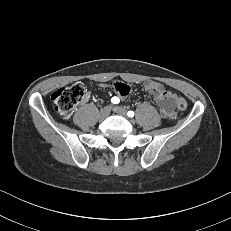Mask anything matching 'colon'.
Masks as SVG:
<instances>
[{
    "label": "colon",
    "instance_id": "5ec220e1",
    "mask_svg": "<svg viewBox=\"0 0 231 231\" xmlns=\"http://www.w3.org/2000/svg\"><path fill=\"white\" fill-rule=\"evenodd\" d=\"M88 95L85 85L76 82L70 86L61 87L53 92L51 100L57 112L63 118H69L77 105L86 100ZM176 106L180 111H184L188 107L187 101L179 97L176 100Z\"/></svg>",
    "mask_w": 231,
    "mask_h": 231
}]
</instances>
